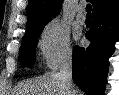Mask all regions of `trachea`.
I'll list each match as a JSON object with an SVG mask.
<instances>
[{
    "instance_id": "1",
    "label": "trachea",
    "mask_w": 119,
    "mask_h": 95,
    "mask_svg": "<svg viewBox=\"0 0 119 95\" xmlns=\"http://www.w3.org/2000/svg\"><path fill=\"white\" fill-rule=\"evenodd\" d=\"M91 10H92V6H91V4H88V5L86 6L87 16H91Z\"/></svg>"
}]
</instances>
